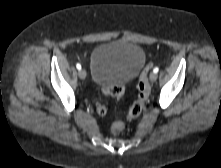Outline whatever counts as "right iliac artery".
<instances>
[{
  "label": "right iliac artery",
  "instance_id": "82829eb1",
  "mask_svg": "<svg viewBox=\"0 0 221 168\" xmlns=\"http://www.w3.org/2000/svg\"><path fill=\"white\" fill-rule=\"evenodd\" d=\"M76 68H77L78 70H80V69H81V65H80L79 63H77V64H76Z\"/></svg>",
  "mask_w": 221,
  "mask_h": 168
}]
</instances>
